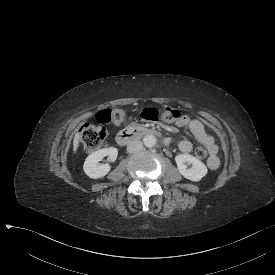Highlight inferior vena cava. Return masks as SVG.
<instances>
[{"label":"inferior vena cava","mask_w":275,"mask_h":275,"mask_svg":"<svg viewBox=\"0 0 275 275\" xmlns=\"http://www.w3.org/2000/svg\"><path fill=\"white\" fill-rule=\"evenodd\" d=\"M143 148L142 142L139 140H134L131 141L128 145H127V151L129 153H136L141 151Z\"/></svg>","instance_id":"inferior-vena-cava-1"}]
</instances>
